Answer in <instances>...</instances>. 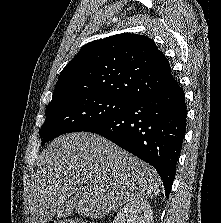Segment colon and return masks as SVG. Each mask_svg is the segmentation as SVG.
I'll return each instance as SVG.
<instances>
[{
    "instance_id": "1",
    "label": "colon",
    "mask_w": 221,
    "mask_h": 223,
    "mask_svg": "<svg viewBox=\"0 0 221 223\" xmlns=\"http://www.w3.org/2000/svg\"><path fill=\"white\" fill-rule=\"evenodd\" d=\"M48 223H100L95 220L80 219V218H57L50 220Z\"/></svg>"
}]
</instances>
